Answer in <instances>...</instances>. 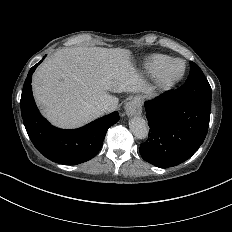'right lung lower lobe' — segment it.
I'll return each mask as SVG.
<instances>
[{"instance_id": "1", "label": "right lung lower lobe", "mask_w": 232, "mask_h": 232, "mask_svg": "<svg viewBox=\"0 0 232 232\" xmlns=\"http://www.w3.org/2000/svg\"><path fill=\"white\" fill-rule=\"evenodd\" d=\"M41 62L30 69L20 101L30 140L41 154L53 162L64 165L86 162L99 152L108 128L119 120V114L115 111L75 130L50 125L39 113L32 95L31 76Z\"/></svg>"}]
</instances>
